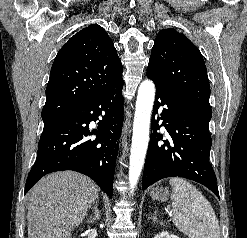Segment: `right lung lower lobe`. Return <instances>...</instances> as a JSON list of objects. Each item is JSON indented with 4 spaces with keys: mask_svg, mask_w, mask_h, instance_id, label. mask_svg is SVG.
<instances>
[{
    "mask_svg": "<svg viewBox=\"0 0 247 238\" xmlns=\"http://www.w3.org/2000/svg\"><path fill=\"white\" fill-rule=\"evenodd\" d=\"M122 88L123 80L44 124L24 194L48 173L73 170L89 176L112 197L117 140L124 120ZM100 115L97 129L91 130L90 122ZM91 135H96V139H88Z\"/></svg>",
    "mask_w": 247,
    "mask_h": 238,
    "instance_id": "98d812e1",
    "label": "right lung lower lobe"
}]
</instances>
